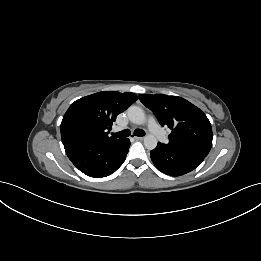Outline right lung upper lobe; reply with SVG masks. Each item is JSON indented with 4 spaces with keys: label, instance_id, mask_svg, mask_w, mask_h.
I'll list each match as a JSON object with an SVG mask.
<instances>
[{
    "label": "right lung upper lobe",
    "instance_id": "right-lung-upper-lobe-1",
    "mask_svg": "<svg viewBox=\"0 0 261 261\" xmlns=\"http://www.w3.org/2000/svg\"><path fill=\"white\" fill-rule=\"evenodd\" d=\"M137 99L131 92L102 91L76 100L61 122L63 144L117 140L108 136L112 123Z\"/></svg>",
    "mask_w": 261,
    "mask_h": 261
}]
</instances>
